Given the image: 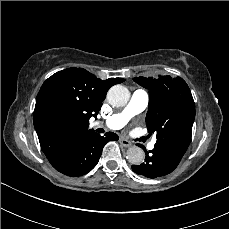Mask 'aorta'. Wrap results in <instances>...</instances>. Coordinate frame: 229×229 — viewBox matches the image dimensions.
Segmentation results:
<instances>
[{"label":"aorta","instance_id":"aorta-1","mask_svg":"<svg viewBox=\"0 0 229 229\" xmlns=\"http://www.w3.org/2000/svg\"><path fill=\"white\" fill-rule=\"evenodd\" d=\"M130 99L129 90L120 84L112 86L107 93V100L113 107H123ZM144 151L138 146H132L127 150V159L133 165H140L144 161Z\"/></svg>","mask_w":229,"mask_h":229}]
</instances>
